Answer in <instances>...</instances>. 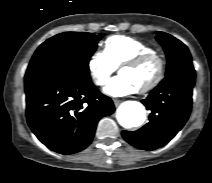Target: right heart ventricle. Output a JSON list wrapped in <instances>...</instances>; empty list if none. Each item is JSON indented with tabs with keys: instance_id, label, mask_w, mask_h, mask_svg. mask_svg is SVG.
Returning a JSON list of instances; mask_svg holds the SVG:
<instances>
[{
	"instance_id": "e07e8e85",
	"label": "right heart ventricle",
	"mask_w": 212,
	"mask_h": 183,
	"mask_svg": "<svg viewBox=\"0 0 212 183\" xmlns=\"http://www.w3.org/2000/svg\"><path fill=\"white\" fill-rule=\"evenodd\" d=\"M104 52L110 58L116 68L125 62L143 53L155 52V49L136 38L128 36H113L104 44Z\"/></svg>"
}]
</instances>
